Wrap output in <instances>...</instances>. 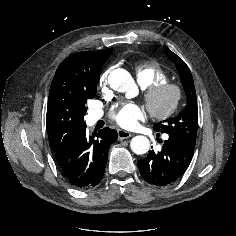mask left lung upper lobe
Here are the masks:
<instances>
[{
  "mask_svg": "<svg viewBox=\"0 0 236 236\" xmlns=\"http://www.w3.org/2000/svg\"><path fill=\"white\" fill-rule=\"evenodd\" d=\"M164 49L172 62L177 66L186 94L187 104L177 116L155 124L153 129L157 132L167 133L169 137L195 147L198 128V109L193 77L188 66L180 57L170 51L166 46H164Z\"/></svg>",
  "mask_w": 236,
  "mask_h": 236,
  "instance_id": "obj_1",
  "label": "left lung upper lobe"
}]
</instances>
